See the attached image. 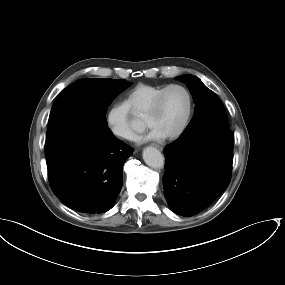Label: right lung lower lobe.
Returning <instances> with one entry per match:
<instances>
[{
  "mask_svg": "<svg viewBox=\"0 0 285 285\" xmlns=\"http://www.w3.org/2000/svg\"><path fill=\"white\" fill-rule=\"evenodd\" d=\"M132 152L98 119L70 121L45 143L53 193L77 212L110 210L122 188L124 161Z\"/></svg>",
  "mask_w": 285,
  "mask_h": 285,
  "instance_id": "98d812e1",
  "label": "right lung lower lobe"
}]
</instances>
